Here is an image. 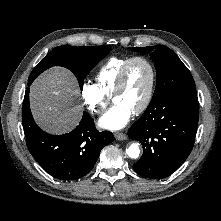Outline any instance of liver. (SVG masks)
I'll return each instance as SVG.
<instances>
[{"label": "liver", "instance_id": "obj_1", "mask_svg": "<svg viewBox=\"0 0 221 221\" xmlns=\"http://www.w3.org/2000/svg\"><path fill=\"white\" fill-rule=\"evenodd\" d=\"M74 76L61 67L42 73L30 87V107L36 123L51 134H64L81 119Z\"/></svg>", "mask_w": 221, "mask_h": 221}]
</instances>
